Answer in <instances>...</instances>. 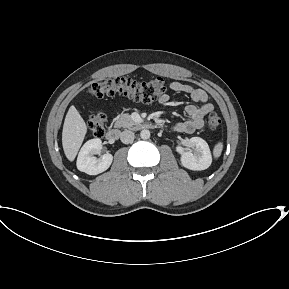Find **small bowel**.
<instances>
[{
	"instance_id": "c3829d8e",
	"label": "small bowel",
	"mask_w": 289,
	"mask_h": 289,
	"mask_svg": "<svg viewBox=\"0 0 289 289\" xmlns=\"http://www.w3.org/2000/svg\"><path fill=\"white\" fill-rule=\"evenodd\" d=\"M169 88L178 93L188 94L194 102L200 104L198 106L188 105L186 107V113L189 119L176 123L173 129L180 133H193L202 128L204 117L214 108L213 105L208 102L207 93L203 89L195 88L189 84L178 81L171 82ZM169 99V96L164 94L159 98V103L164 105L168 103Z\"/></svg>"
}]
</instances>
